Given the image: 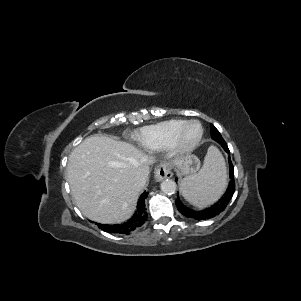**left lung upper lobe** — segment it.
<instances>
[{"instance_id":"left-lung-upper-lobe-1","label":"left lung upper lobe","mask_w":301,"mask_h":301,"mask_svg":"<svg viewBox=\"0 0 301 301\" xmlns=\"http://www.w3.org/2000/svg\"><path fill=\"white\" fill-rule=\"evenodd\" d=\"M210 128H211V132H215L218 135H220L219 131L216 129V127L213 124H211Z\"/></svg>"}]
</instances>
